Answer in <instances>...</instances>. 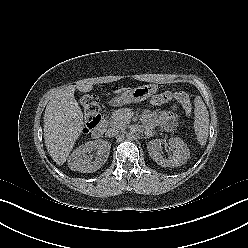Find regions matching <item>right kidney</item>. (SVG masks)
I'll list each match as a JSON object with an SVG mask.
<instances>
[{
    "label": "right kidney",
    "mask_w": 248,
    "mask_h": 248,
    "mask_svg": "<svg viewBox=\"0 0 248 248\" xmlns=\"http://www.w3.org/2000/svg\"><path fill=\"white\" fill-rule=\"evenodd\" d=\"M110 148L111 144L104 140L88 141L69 156L68 166L73 171L95 172L107 161Z\"/></svg>",
    "instance_id": "obj_1"
}]
</instances>
